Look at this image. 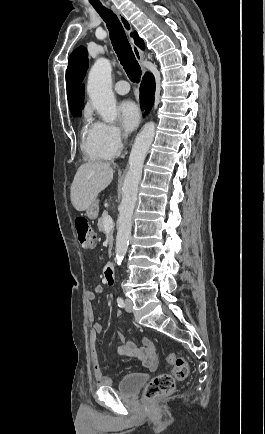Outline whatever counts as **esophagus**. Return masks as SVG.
Wrapping results in <instances>:
<instances>
[{
  "mask_svg": "<svg viewBox=\"0 0 265 434\" xmlns=\"http://www.w3.org/2000/svg\"><path fill=\"white\" fill-rule=\"evenodd\" d=\"M115 12L117 13L119 20L121 21L124 30L126 31L127 35L129 36V42L131 45V48L133 50V53L135 55V58L137 59V61L139 63H142L144 61V55L141 52V50L137 47V45H135L133 38L130 36L131 32L133 31L132 25L129 22V20L120 12V10H117L116 8H114ZM143 71L146 72V69L143 68Z\"/></svg>",
  "mask_w": 265,
  "mask_h": 434,
  "instance_id": "esophagus-1",
  "label": "esophagus"
}]
</instances>
